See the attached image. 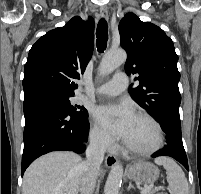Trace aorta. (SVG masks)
<instances>
[{
    "mask_svg": "<svg viewBox=\"0 0 201 194\" xmlns=\"http://www.w3.org/2000/svg\"><path fill=\"white\" fill-rule=\"evenodd\" d=\"M127 54L123 49L110 50L102 58L98 72L101 76H106L112 73L116 68L125 63ZM123 166L115 164L106 181L104 194H119V189L122 183Z\"/></svg>",
    "mask_w": 201,
    "mask_h": 194,
    "instance_id": "762f6f07",
    "label": "aorta"
}]
</instances>
